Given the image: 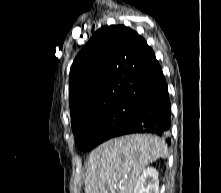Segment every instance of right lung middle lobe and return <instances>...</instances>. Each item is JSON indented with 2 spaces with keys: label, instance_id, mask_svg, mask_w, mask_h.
<instances>
[{
  "label": "right lung middle lobe",
  "instance_id": "1",
  "mask_svg": "<svg viewBox=\"0 0 221 193\" xmlns=\"http://www.w3.org/2000/svg\"><path fill=\"white\" fill-rule=\"evenodd\" d=\"M142 100H118L79 121L73 130L77 134L76 146L82 151H89L112 138L120 128L132 122L138 115L142 109Z\"/></svg>",
  "mask_w": 221,
  "mask_h": 193
}]
</instances>
